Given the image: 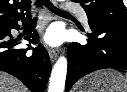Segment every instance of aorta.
Segmentation results:
<instances>
[{
	"label": "aorta",
	"instance_id": "aorta-1",
	"mask_svg": "<svg viewBox=\"0 0 127 92\" xmlns=\"http://www.w3.org/2000/svg\"><path fill=\"white\" fill-rule=\"evenodd\" d=\"M66 75L67 59L60 57L52 70L48 92H64Z\"/></svg>",
	"mask_w": 127,
	"mask_h": 92
}]
</instances>
